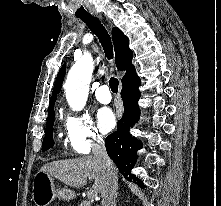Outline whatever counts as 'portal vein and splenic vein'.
Returning a JSON list of instances; mask_svg holds the SVG:
<instances>
[{
    "instance_id": "18ae733b",
    "label": "portal vein and splenic vein",
    "mask_w": 221,
    "mask_h": 206,
    "mask_svg": "<svg viewBox=\"0 0 221 206\" xmlns=\"http://www.w3.org/2000/svg\"><path fill=\"white\" fill-rule=\"evenodd\" d=\"M87 195L92 199L97 197V194L94 192V190L89 191Z\"/></svg>"
}]
</instances>
